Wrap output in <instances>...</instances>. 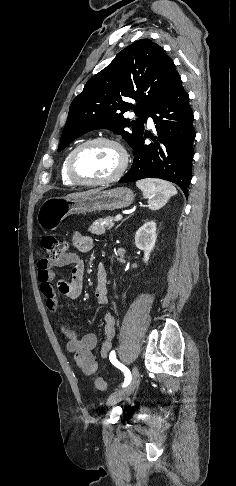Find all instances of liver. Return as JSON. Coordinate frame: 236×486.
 I'll list each match as a JSON object with an SVG mask.
<instances>
[{
    "label": "liver",
    "mask_w": 236,
    "mask_h": 486,
    "mask_svg": "<svg viewBox=\"0 0 236 486\" xmlns=\"http://www.w3.org/2000/svg\"><path fill=\"white\" fill-rule=\"evenodd\" d=\"M100 191V189H93V190H89V191H86V192H80V193H71V194H68L66 197H77V196H80V195H85V194H90V193H94V192H98Z\"/></svg>",
    "instance_id": "obj_1"
}]
</instances>
